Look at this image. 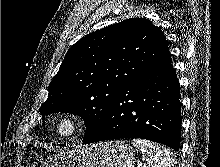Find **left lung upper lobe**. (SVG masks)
<instances>
[{"mask_svg": "<svg viewBox=\"0 0 220 167\" xmlns=\"http://www.w3.org/2000/svg\"><path fill=\"white\" fill-rule=\"evenodd\" d=\"M170 56L166 37L145 18L127 19L76 42L48 87L42 115L70 112L94 136L121 87Z\"/></svg>", "mask_w": 220, "mask_h": 167, "instance_id": "left-lung-upper-lobe-1", "label": "left lung upper lobe"}]
</instances>
